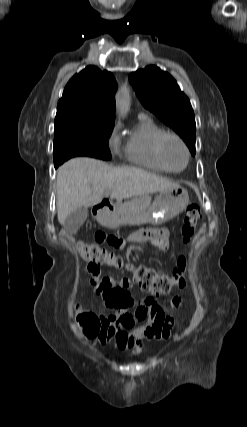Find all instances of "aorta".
I'll return each instance as SVG.
<instances>
[{
    "instance_id": "762f6f07",
    "label": "aorta",
    "mask_w": 247,
    "mask_h": 427,
    "mask_svg": "<svg viewBox=\"0 0 247 427\" xmlns=\"http://www.w3.org/2000/svg\"><path fill=\"white\" fill-rule=\"evenodd\" d=\"M130 106V91L128 87L123 86L116 95V108L120 116L125 117Z\"/></svg>"
}]
</instances>
